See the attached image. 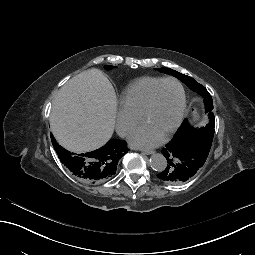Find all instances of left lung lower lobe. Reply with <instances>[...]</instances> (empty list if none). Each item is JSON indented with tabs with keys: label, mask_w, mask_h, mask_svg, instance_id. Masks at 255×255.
I'll return each instance as SVG.
<instances>
[{
	"label": "left lung lower lobe",
	"mask_w": 255,
	"mask_h": 255,
	"mask_svg": "<svg viewBox=\"0 0 255 255\" xmlns=\"http://www.w3.org/2000/svg\"><path fill=\"white\" fill-rule=\"evenodd\" d=\"M161 152L169 166L164 172H158L156 177L168 183L180 184L191 179L206 163L205 152L201 150L200 145L187 138H182L173 145H166Z\"/></svg>",
	"instance_id": "1"
}]
</instances>
